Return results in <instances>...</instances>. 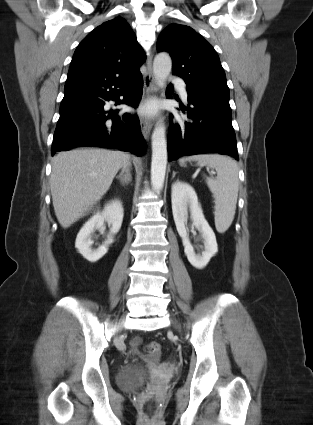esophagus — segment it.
I'll return each mask as SVG.
<instances>
[{"label": "esophagus", "instance_id": "obj_1", "mask_svg": "<svg viewBox=\"0 0 313 425\" xmlns=\"http://www.w3.org/2000/svg\"><path fill=\"white\" fill-rule=\"evenodd\" d=\"M146 67H147V72L143 76V81H144L143 100H146L147 98L155 95L158 90L157 84L153 75L151 55H149L147 58ZM140 126H141V131L143 136L146 139H148L153 126L152 121L147 117L141 116Z\"/></svg>", "mask_w": 313, "mask_h": 425}]
</instances>
